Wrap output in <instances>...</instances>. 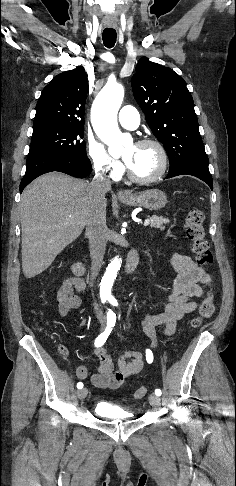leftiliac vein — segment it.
I'll return each mask as SVG.
<instances>
[{"mask_svg": "<svg viewBox=\"0 0 236 486\" xmlns=\"http://www.w3.org/2000/svg\"><path fill=\"white\" fill-rule=\"evenodd\" d=\"M149 403L152 406L156 407V406H159L161 404V400H160L159 396H157L156 394H150Z\"/></svg>", "mask_w": 236, "mask_h": 486, "instance_id": "left-iliac-vein-1", "label": "left iliac vein"}]
</instances>
